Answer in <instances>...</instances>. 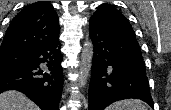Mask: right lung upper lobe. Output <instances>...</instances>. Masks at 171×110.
Wrapping results in <instances>:
<instances>
[{"label": "right lung upper lobe", "mask_w": 171, "mask_h": 110, "mask_svg": "<svg viewBox=\"0 0 171 110\" xmlns=\"http://www.w3.org/2000/svg\"><path fill=\"white\" fill-rule=\"evenodd\" d=\"M59 19L49 1L25 6L11 21L0 54L28 53L57 38Z\"/></svg>", "instance_id": "cb5924a9"}]
</instances>
